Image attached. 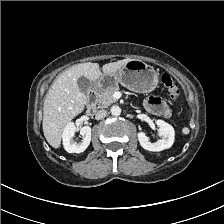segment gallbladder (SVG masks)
<instances>
[{"label":"gallbladder","mask_w":224,"mask_h":224,"mask_svg":"<svg viewBox=\"0 0 224 224\" xmlns=\"http://www.w3.org/2000/svg\"><path fill=\"white\" fill-rule=\"evenodd\" d=\"M79 89L84 93L88 94L89 88L91 87V82L85 76H81L77 80Z\"/></svg>","instance_id":"1"}]
</instances>
